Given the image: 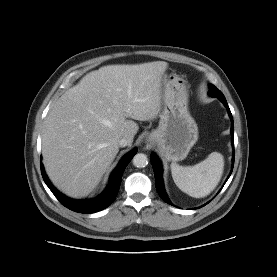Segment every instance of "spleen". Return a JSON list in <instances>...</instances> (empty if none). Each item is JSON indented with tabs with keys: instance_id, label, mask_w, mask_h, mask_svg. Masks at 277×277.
<instances>
[{
	"instance_id": "1",
	"label": "spleen",
	"mask_w": 277,
	"mask_h": 277,
	"mask_svg": "<svg viewBox=\"0 0 277 277\" xmlns=\"http://www.w3.org/2000/svg\"><path fill=\"white\" fill-rule=\"evenodd\" d=\"M224 158L221 153L212 152L202 162L194 166H180L171 163L172 178L176 186L194 198L209 195L221 180Z\"/></svg>"
}]
</instances>
